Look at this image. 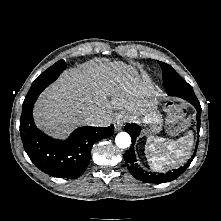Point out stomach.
<instances>
[{
	"label": "stomach",
	"instance_id": "stomach-1",
	"mask_svg": "<svg viewBox=\"0 0 221 221\" xmlns=\"http://www.w3.org/2000/svg\"><path fill=\"white\" fill-rule=\"evenodd\" d=\"M130 118L133 120L137 119L135 116H131ZM138 120L147 127V131L151 135L158 133L162 129V117L157 112L153 111L146 113L141 119Z\"/></svg>",
	"mask_w": 221,
	"mask_h": 221
}]
</instances>
